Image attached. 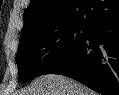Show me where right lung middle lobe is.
<instances>
[{
    "label": "right lung middle lobe",
    "mask_w": 119,
    "mask_h": 95,
    "mask_svg": "<svg viewBox=\"0 0 119 95\" xmlns=\"http://www.w3.org/2000/svg\"><path fill=\"white\" fill-rule=\"evenodd\" d=\"M91 28L78 24L41 27L20 38L16 62L19 81L43 75L61 60Z\"/></svg>",
    "instance_id": "dd1d6c3e"
}]
</instances>
